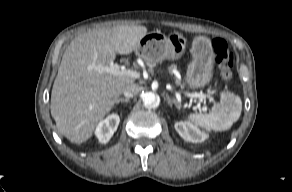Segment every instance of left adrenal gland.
Wrapping results in <instances>:
<instances>
[{
  "mask_svg": "<svg viewBox=\"0 0 292 192\" xmlns=\"http://www.w3.org/2000/svg\"><path fill=\"white\" fill-rule=\"evenodd\" d=\"M166 101L170 107H172V105L174 104L177 109L181 108V105L175 99H172L169 96H166Z\"/></svg>",
  "mask_w": 292,
  "mask_h": 192,
  "instance_id": "left-adrenal-gland-1",
  "label": "left adrenal gland"
}]
</instances>
